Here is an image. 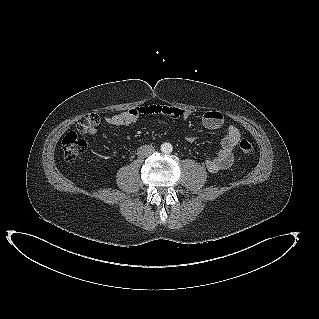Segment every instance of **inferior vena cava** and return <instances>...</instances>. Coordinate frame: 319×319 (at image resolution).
<instances>
[{
  "mask_svg": "<svg viewBox=\"0 0 319 319\" xmlns=\"http://www.w3.org/2000/svg\"><path fill=\"white\" fill-rule=\"evenodd\" d=\"M155 149L152 145H143L138 149V156L141 158H145L154 153Z\"/></svg>",
  "mask_w": 319,
  "mask_h": 319,
  "instance_id": "inferior-vena-cava-1",
  "label": "inferior vena cava"
}]
</instances>
